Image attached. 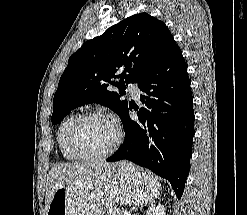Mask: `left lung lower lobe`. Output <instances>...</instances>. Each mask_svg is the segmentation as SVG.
Wrapping results in <instances>:
<instances>
[{"mask_svg": "<svg viewBox=\"0 0 247 215\" xmlns=\"http://www.w3.org/2000/svg\"><path fill=\"white\" fill-rule=\"evenodd\" d=\"M146 95L133 121L127 111L121 118L125 140L108 162L130 160L167 179L178 199L189 174L194 110L187 66L172 38L162 55L137 81Z\"/></svg>", "mask_w": 247, "mask_h": 215, "instance_id": "0a47b994", "label": "left lung lower lobe"}]
</instances>
